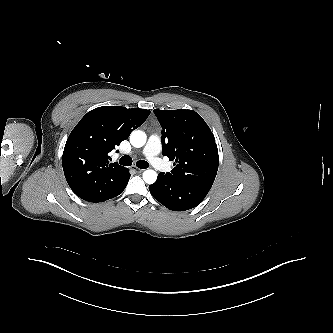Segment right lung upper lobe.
<instances>
[{"instance_id": "obj_1", "label": "right lung upper lobe", "mask_w": 333, "mask_h": 333, "mask_svg": "<svg viewBox=\"0 0 333 333\" xmlns=\"http://www.w3.org/2000/svg\"><path fill=\"white\" fill-rule=\"evenodd\" d=\"M146 109L103 106L89 111L70 133L62 164L67 183L80 198L99 202L125 181L128 169L109 163V153L149 116Z\"/></svg>"}]
</instances>
